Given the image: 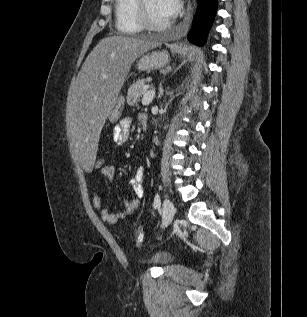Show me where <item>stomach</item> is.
<instances>
[{
	"mask_svg": "<svg viewBox=\"0 0 307 317\" xmlns=\"http://www.w3.org/2000/svg\"><path fill=\"white\" fill-rule=\"evenodd\" d=\"M169 63V54L166 51L150 52L143 54L137 61V68L141 71L161 69ZM124 106V97L117 96L114 105L108 115L111 122H116L120 117Z\"/></svg>",
	"mask_w": 307,
	"mask_h": 317,
	"instance_id": "0dacf381",
	"label": "stomach"
}]
</instances>
